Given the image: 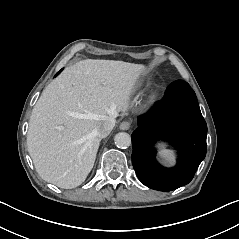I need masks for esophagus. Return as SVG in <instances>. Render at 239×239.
Returning a JSON list of instances; mask_svg holds the SVG:
<instances>
[{
	"mask_svg": "<svg viewBox=\"0 0 239 239\" xmlns=\"http://www.w3.org/2000/svg\"><path fill=\"white\" fill-rule=\"evenodd\" d=\"M131 123L128 121H124L120 124L121 130H128L130 128Z\"/></svg>",
	"mask_w": 239,
	"mask_h": 239,
	"instance_id": "34e87169",
	"label": "esophagus"
}]
</instances>
